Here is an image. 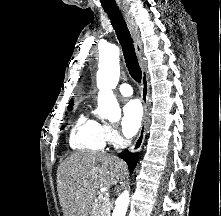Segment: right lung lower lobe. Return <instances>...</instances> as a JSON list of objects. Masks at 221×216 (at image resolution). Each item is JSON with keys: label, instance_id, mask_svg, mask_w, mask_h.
I'll return each instance as SVG.
<instances>
[{"label": "right lung lower lobe", "instance_id": "1", "mask_svg": "<svg viewBox=\"0 0 221 216\" xmlns=\"http://www.w3.org/2000/svg\"><path fill=\"white\" fill-rule=\"evenodd\" d=\"M118 156L128 164L129 171L132 172L137 164L139 154L131 153L128 152V150H124L123 152L118 154Z\"/></svg>", "mask_w": 221, "mask_h": 216}]
</instances>
